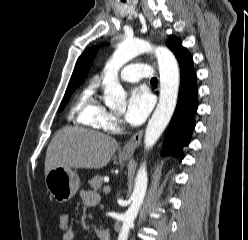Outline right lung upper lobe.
<instances>
[{
  "label": "right lung upper lobe",
  "instance_id": "1",
  "mask_svg": "<svg viewBox=\"0 0 248 240\" xmlns=\"http://www.w3.org/2000/svg\"><path fill=\"white\" fill-rule=\"evenodd\" d=\"M98 47H92L86 50L78 59L73 74L70 81H80L82 82L86 77L91 64L97 54Z\"/></svg>",
  "mask_w": 248,
  "mask_h": 240
}]
</instances>
